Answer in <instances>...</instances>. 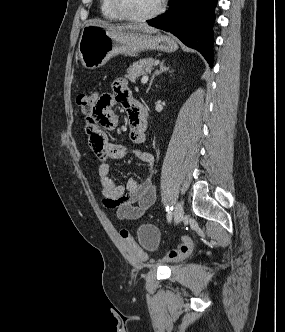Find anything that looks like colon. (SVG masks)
<instances>
[{"label": "colon", "instance_id": "1", "mask_svg": "<svg viewBox=\"0 0 285 332\" xmlns=\"http://www.w3.org/2000/svg\"><path fill=\"white\" fill-rule=\"evenodd\" d=\"M95 96H102L92 92H84L77 96L76 103L85 116V111H91V107L94 106ZM110 123V122H109ZM122 239L127 243L132 252L141 260H147V253L142 247L135 241L131 232L127 229L120 231ZM192 244L188 238H184L182 243L177 249H174L166 254L163 258L164 262L176 261L186 258L191 252Z\"/></svg>", "mask_w": 285, "mask_h": 332}]
</instances>
